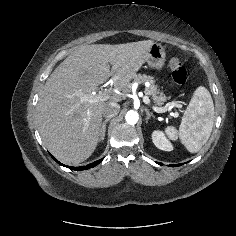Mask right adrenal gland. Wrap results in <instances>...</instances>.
Here are the masks:
<instances>
[{
    "mask_svg": "<svg viewBox=\"0 0 236 236\" xmlns=\"http://www.w3.org/2000/svg\"><path fill=\"white\" fill-rule=\"evenodd\" d=\"M109 120H110V119H106V120L103 121V123H102L101 134H100V141H103V140H104L105 132H106V123H107Z\"/></svg>",
    "mask_w": 236,
    "mask_h": 236,
    "instance_id": "2a0ac1e0",
    "label": "right adrenal gland"
}]
</instances>
